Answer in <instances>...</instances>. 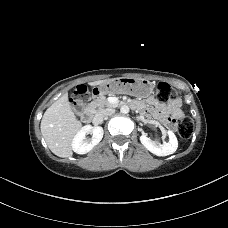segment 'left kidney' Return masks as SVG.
I'll use <instances>...</instances> for the list:
<instances>
[{"instance_id": "1", "label": "left kidney", "mask_w": 228, "mask_h": 228, "mask_svg": "<svg viewBox=\"0 0 228 228\" xmlns=\"http://www.w3.org/2000/svg\"><path fill=\"white\" fill-rule=\"evenodd\" d=\"M167 134L169 136V141L162 144L152 141L146 134L141 135L140 141L151 153L157 156H167L173 154L178 147V141L175 134L170 130Z\"/></svg>"}]
</instances>
